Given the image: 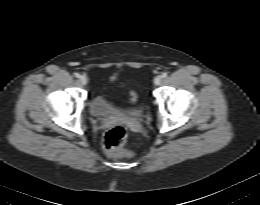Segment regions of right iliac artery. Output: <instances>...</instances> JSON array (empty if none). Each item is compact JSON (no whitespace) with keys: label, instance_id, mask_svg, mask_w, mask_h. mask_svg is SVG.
I'll use <instances>...</instances> for the list:
<instances>
[{"label":"right iliac artery","instance_id":"82829eb1","mask_svg":"<svg viewBox=\"0 0 260 205\" xmlns=\"http://www.w3.org/2000/svg\"><path fill=\"white\" fill-rule=\"evenodd\" d=\"M74 76H75L76 78H79V77H80V74H79V73H74Z\"/></svg>","mask_w":260,"mask_h":205}]
</instances>
